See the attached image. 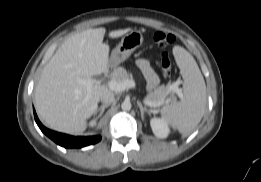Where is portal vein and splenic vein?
Wrapping results in <instances>:
<instances>
[{"mask_svg":"<svg viewBox=\"0 0 261 182\" xmlns=\"http://www.w3.org/2000/svg\"><path fill=\"white\" fill-rule=\"evenodd\" d=\"M79 82L81 84L85 85L89 89L92 86L94 81L91 80V79H87V80H79ZM108 86H109V88L112 91L122 92V91H124L126 89L134 88L135 87V82L133 80H126V81L110 80L108 82ZM170 89H172L174 92H176L179 97H182V91L178 88L177 84H174L173 86H171ZM145 103L148 106H151V107H158V106H160V104L157 105V104H155V103H153L151 101H147V100H145Z\"/></svg>","mask_w":261,"mask_h":182,"instance_id":"1","label":"portal vein and splenic vein"}]
</instances>
